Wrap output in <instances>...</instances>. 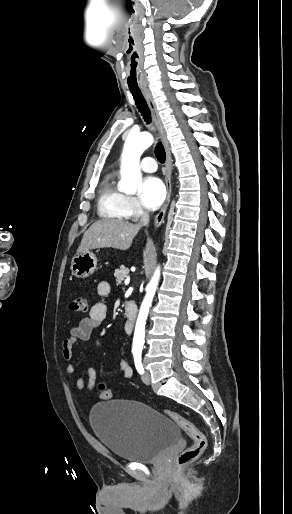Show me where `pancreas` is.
Segmentation results:
<instances>
[{
	"label": "pancreas",
	"instance_id": "cf45deb5",
	"mask_svg": "<svg viewBox=\"0 0 292 514\" xmlns=\"http://www.w3.org/2000/svg\"><path fill=\"white\" fill-rule=\"evenodd\" d=\"M129 274V270L128 268H125V266H120V270H115V278H116V282L117 284H121L122 280H124V278H127Z\"/></svg>",
	"mask_w": 292,
	"mask_h": 514
}]
</instances>
